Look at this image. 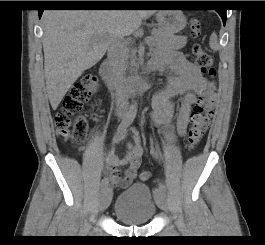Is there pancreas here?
<instances>
[{
	"mask_svg": "<svg viewBox=\"0 0 265 245\" xmlns=\"http://www.w3.org/2000/svg\"><path fill=\"white\" fill-rule=\"evenodd\" d=\"M150 46L156 47L159 50H179L183 48L187 43V37L185 36H174L164 32L161 29H154L152 36L150 37ZM132 56L131 64H135V59Z\"/></svg>",
	"mask_w": 265,
	"mask_h": 245,
	"instance_id": "obj_1",
	"label": "pancreas"
}]
</instances>
